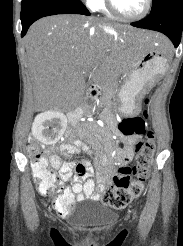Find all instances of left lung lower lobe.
Wrapping results in <instances>:
<instances>
[{
    "label": "left lung lower lobe",
    "instance_id": "0a47b994",
    "mask_svg": "<svg viewBox=\"0 0 183 246\" xmlns=\"http://www.w3.org/2000/svg\"><path fill=\"white\" fill-rule=\"evenodd\" d=\"M137 28L159 31L179 46L183 30V0H165L147 18L131 23Z\"/></svg>",
    "mask_w": 183,
    "mask_h": 246
}]
</instances>
